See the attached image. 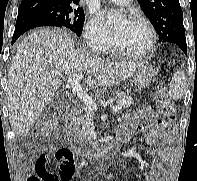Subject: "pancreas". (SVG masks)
Returning a JSON list of instances; mask_svg holds the SVG:
<instances>
[{
    "mask_svg": "<svg viewBox=\"0 0 197 181\" xmlns=\"http://www.w3.org/2000/svg\"><path fill=\"white\" fill-rule=\"evenodd\" d=\"M116 104L128 108L133 104V99L128 94L119 93L116 96ZM93 120V113L88 110L84 115L73 118L70 129L73 130L79 140H92L96 136ZM80 123L82 124L81 127H79Z\"/></svg>",
    "mask_w": 197,
    "mask_h": 181,
    "instance_id": "pancreas-1",
    "label": "pancreas"
}]
</instances>
